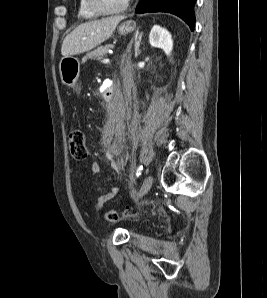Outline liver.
<instances>
[{
	"mask_svg": "<svg viewBox=\"0 0 267 298\" xmlns=\"http://www.w3.org/2000/svg\"><path fill=\"white\" fill-rule=\"evenodd\" d=\"M125 16H113L85 22L68 34L61 47L63 57L87 52L107 40Z\"/></svg>",
	"mask_w": 267,
	"mask_h": 298,
	"instance_id": "obj_1",
	"label": "liver"
}]
</instances>
